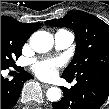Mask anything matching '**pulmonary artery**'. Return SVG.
Returning <instances> with one entry per match:
<instances>
[{"mask_svg":"<svg viewBox=\"0 0 109 109\" xmlns=\"http://www.w3.org/2000/svg\"><path fill=\"white\" fill-rule=\"evenodd\" d=\"M74 42V34L72 31L60 29L54 34V43L57 50H65Z\"/></svg>","mask_w":109,"mask_h":109,"instance_id":"1","label":"pulmonary artery"}]
</instances>
